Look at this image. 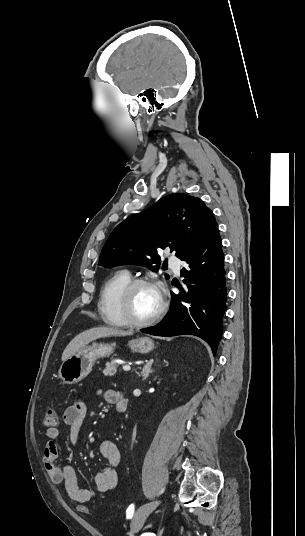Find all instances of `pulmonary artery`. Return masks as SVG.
Returning a JSON list of instances; mask_svg holds the SVG:
<instances>
[{"instance_id": "1", "label": "pulmonary artery", "mask_w": 305, "mask_h": 536, "mask_svg": "<svg viewBox=\"0 0 305 536\" xmlns=\"http://www.w3.org/2000/svg\"><path fill=\"white\" fill-rule=\"evenodd\" d=\"M170 260L171 261H169V263H170L171 267L173 268L174 272L176 274H179L180 273V268H181L180 261L177 260V257L175 255H172L170 257ZM126 272H128V271H126Z\"/></svg>"}]
</instances>
